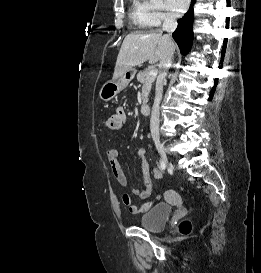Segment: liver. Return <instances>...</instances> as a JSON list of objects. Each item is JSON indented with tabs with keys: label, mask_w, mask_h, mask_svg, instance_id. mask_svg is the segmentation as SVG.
Segmentation results:
<instances>
[{
	"label": "liver",
	"mask_w": 261,
	"mask_h": 273,
	"mask_svg": "<svg viewBox=\"0 0 261 273\" xmlns=\"http://www.w3.org/2000/svg\"><path fill=\"white\" fill-rule=\"evenodd\" d=\"M168 49L167 35H163L161 30L127 35L117 57L113 80L146 61L151 64L160 62L165 58Z\"/></svg>",
	"instance_id": "obj_1"
}]
</instances>
